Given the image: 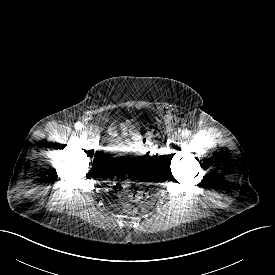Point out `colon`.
<instances>
[{"label": "colon", "mask_w": 275, "mask_h": 275, "mask_svg": "<svg viewBox=\"0 0 275 275\" xmlns=\"http://www.w3.org/2000/svg\"><path fill=\"white\" fill-rule=\"evenodd\" d=\"M160 114L170 120L179 121L184 115L183 113L172 107H163L160 110ZM157 138V133L155 131L151 132L147 141L149 142L152 139ZM126 176H117V180L114 183V190L117 193L118 197L123 201V209L127 213H133L135 210L133 206L125 202L126 200H132L135 202H142L147 198V192L144 189H137L132 191L130 189L129 182L125 179Z\"/></svg>", "instance_id": "colon-1"}]
</instances>
